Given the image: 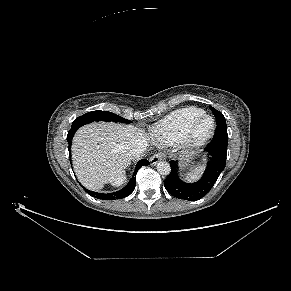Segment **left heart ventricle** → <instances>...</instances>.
Returning a JSON list of instances; mask_svg holds the SVG:
<instances>
[{"label":"left heart ventricle","mask_w":291,"mask_h":291,"mask_svg":"<svg viewBox=\"0 0 291 291\" xmlns=\"http://www.w3.org/2000/svg\"><path fill=\"white\" fill-rule=\"evenodd\" d=\"M210 125H211V122L209 120L204 121L199 128V133L202 134L205 131H207L209 129Z\"/></svg>","instance_id":"obj_1"}]
</instances>
